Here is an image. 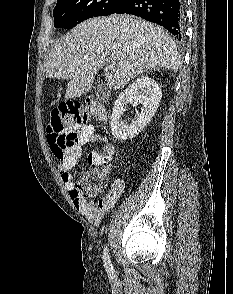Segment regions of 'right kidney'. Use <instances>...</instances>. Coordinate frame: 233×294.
<instances>
[{
	"label": "right kidney",
	"mask_w": 233,
	"mask_h": 294,
	"mask_svg": "<svg viewBox=\"0 0 233 294\" xmlns=\"http://www.w3.org/2000/svg\"><path fill=\"white\" fill-rule=\"evenodd\" d=\"M161 97V89L154 79L147 75L137 78L119 94L114 103L110 123L113 137L119 141H126L137 136L155 115ZM128 103L133 106L143 105L141 112L136 113L130 124L120 120Z\"/></svg>",
	"instance_id": "1"
}]
</instances>
